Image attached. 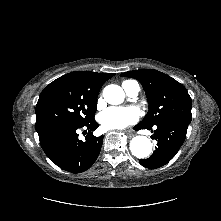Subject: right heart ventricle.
Here are the masks:
<instances>
[{
  "label": "right heart ventricle",
  "instance_id": "obj_1",
  "mask_svg": "<svg viewBox=\"0 0 221 221\" xmlns=\"http://www.w3.org/2000/svg\"><path fill=\"white\" fill-rule=\"evenodd\" d=\"M128 82H132V81H125V82H123V83H128Z\"/></svg>",
  "mask_w": 221,
  "mask_h": 221
}]
</instances>
